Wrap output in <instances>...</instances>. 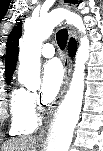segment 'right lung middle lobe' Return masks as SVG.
<instances>
[{
	"instance_id": "obj_1",
	"label": "right lung middle lobe",
	"mask_w": 103,
	"mask_h": 151,
	"mask_svg": "<svg viewBox=\"0 0 103 151\" xmlns=\"http://www.w3.org/2000/svg\"><path fill=\"white\" fill-rule=\"evenodd\" d=\"M7 84L11 82V79H6Z\"/></svg>"
}]
</instances>
